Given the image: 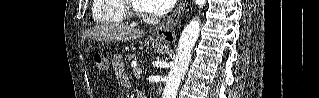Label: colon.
Returning a JSON list of instances; mask_svg holds the SVG:
<instances>
[{
	"label": "colon",
	"instance_id": "5ec220e1",
	"mask_svg": "<svg viewBox=\"0 0 319 98\" xmlns=\"http://www.w3.org/2000/svg\"><path fill=\"white\" fill-rule=\"evenodd\" d=\"M93 60L99 69H104L106 67L105 58L101 53H94Z\"/></svg>",
	"mask_w": 319,
	"mask_h": 98
}]
</instances>
